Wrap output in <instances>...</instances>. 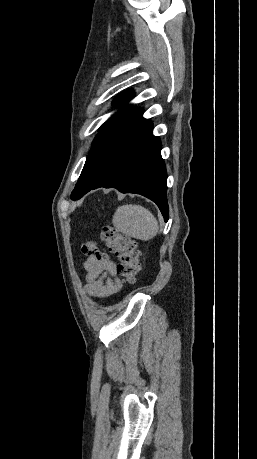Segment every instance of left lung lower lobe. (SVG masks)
<instances>
[{"label":"left lung lower lobe","instance_id":"1","mask_svg":"<svg viewBox=\"0 0 257 459\" xmlns=\"http://www.w3.org/2000/svg\"><path fill=\"white\" fill-rule=\"evenodd\" d=\"M142 114V109H132L107 131L100 147V166L87 192L114 187L122 193L141 194L158 205L167 221V175L161 142L152 134V122Z\"/></svg>","mask_w":257,"mask_h":459}]
</instances>
